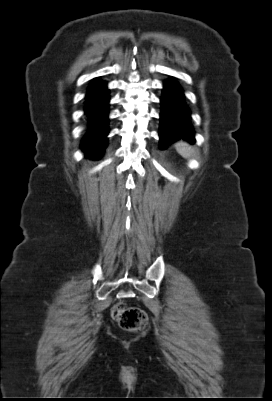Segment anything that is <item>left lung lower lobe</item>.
<instances>
[{
  "mask_svg": "<svg viewBox=\"0 0 272 401\" xmlns=\"http://www.w3.org/2000/svg\"><path fill=\"white\" fill-rule=\"evenodd\" d=\"M159 136L162 149L181 138L190 143L195 140L190 123V111L184 103V94L181 87L173 80L164 83Z\"/></svg>",
  "mask_w": 272,
  "mask_h": 401,
  "instance_id": "obj_1",
  "label": "left lung lower lobe"
}]
</instances>
